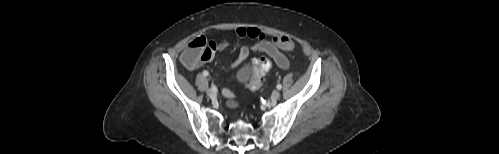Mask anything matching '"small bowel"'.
<instances>
[{"label":"small bowel","mask_w":499,"mask_h":154,"mask_svg":"<svg viewBox=\"0 0 499 154\" xmlns=\"http://www.w3.org/2000/svg\"><path fill=\"white\" fill-rule=\"evenodd\" d=\"M233 35L236 37H250L256 40V43L251 47L254 51H259L270 56L278 67L281 69L289 68V61L286 56L279 50V48L274 44V42L265 40L263 33L257 28H246L239 27L233 31ZM210 45L214 50L222 51L230 47V43L226 41L215 42L210 41ZM250 49L247 46H240L237 58L229 65V68H235L242 62H244L248 55ZM223 93L228 98H235V94L228 89H224Z\"/></svg>","instance_id":"obj_1"}]
</instances>
